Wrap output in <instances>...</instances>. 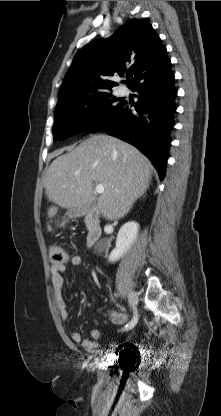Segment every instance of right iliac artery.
Instances as JSON below:
<instances>
[{
    "label": "right iliac artery",
    "instance_id": "82829eb1",
    "mask_svg": "<svg viewBox=\"0 0 221 416\" xmlns=\"http://www.w3.org/2000/svg\"><path fill=\"white\" fill-rule=\"evenodd\" d=\"M137 321H138V317H137V314L135 313L132 320L128 324H126L122 330L126 331V330L132 329L137 324Z\"/></svg>",
    "mask_w": 221,
    "mask_h": 416
}]
</instances>
